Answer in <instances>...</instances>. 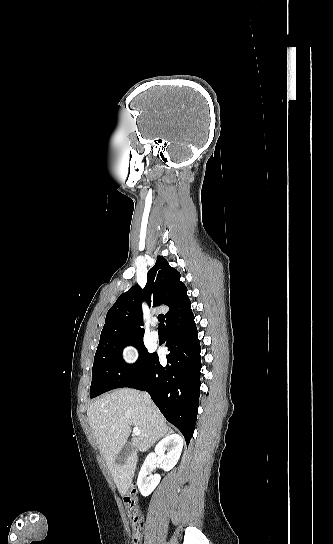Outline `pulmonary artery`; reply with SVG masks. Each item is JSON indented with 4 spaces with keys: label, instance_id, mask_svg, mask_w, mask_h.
Masks as SVG:
<instances>
[{
    "label": "pulmonary artery",
    "instance_id": "obj_1",
    "mask_svg": "<svg viewBox=\"0 0 333 544\" xmlns=\"http://www.w3.org/2000/svg\"><path fill=\"white\" fill-rule=\"evenodd\" d=\"M151 325H152V326H156V325H157V321H156L155 319L152 320V321H151ZM151 338H152V340H154V341H157V340H158V338H159V333H158L157 330H153V331L151 332Z\"/></svg>",
    "mask_w": 333,
    "mask_h": 544
}]
</instances>
